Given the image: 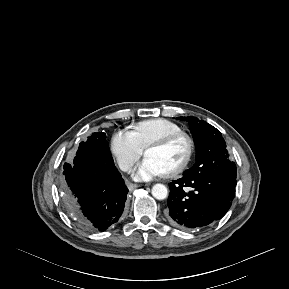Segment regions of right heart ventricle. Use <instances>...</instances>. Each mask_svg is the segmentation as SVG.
<instances>
[{"mask_svg":"<svg viewBox=\"0 0 289 289\" xmlns=\"http://www.w3.org/2000/svg\"><path fill=\"white\" fill-rule=\"evenodd\" d=\"M138 143L146 148L150 143L169 134L181 132L180 127L174 122L164 118L143 120L133 127Z\"/></svg>","mask_w":289,"mask_h":289,"instance_id":"right-heart-ventricle-1","label":"right heart ventricle"}]
</instances>
